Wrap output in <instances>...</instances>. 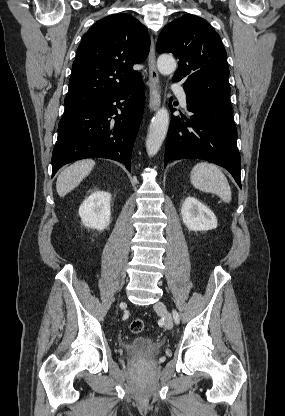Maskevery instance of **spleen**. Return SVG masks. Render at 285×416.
Listing matches in <instances>:
<instances>
[{
	"mask_svg": "<svg viewBox=\"0 0 285 416\" xmlns=\"http://www.w3.org/2000/svg\"><path fill=\"white\" fill-rule=\"evenodd\" d=\"M190 180L196 190L216 194L226 204L231 202L232 194L228 180L218 166L206 164V162L196 164L191 170Z\"/></svg>",
	"mask_w": 285,
	"mask_h": 416,
	"instance_id": "spleen-1",
	"label": "spleen"
}]
</instances>
